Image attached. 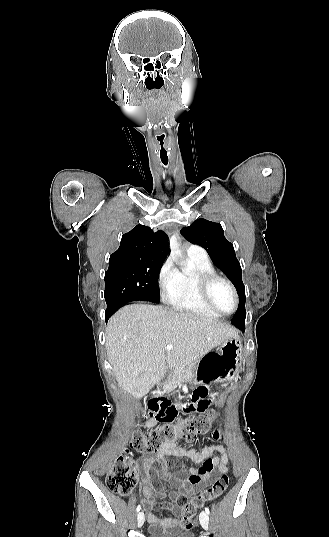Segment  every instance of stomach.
Wrapping results in <instances>:
<instances>
[{"label":"stomach","instance_id":"1","mask_svg":"<svg viewBox=\"0 0 329 537\" xmlns=\"http://www.w3.org/2000/svg\"><path fill=\"white\" fill-rule=\"evenodd\" d=\"M242 360V343L239 336L230 337L223 342L217 352H208L196 366V373L188 380L197 385L198 382L214 383L234 377Z\"/></svg>","mask_w":329,"mask_h":537}]
</instances>
